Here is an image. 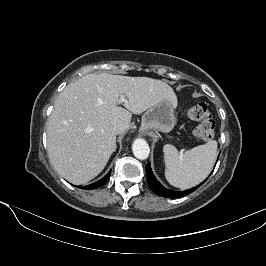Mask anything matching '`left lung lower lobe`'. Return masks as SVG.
<instances>
[{
	"label": "left lung lower lobe",
	"instance_id": "0a47b994",
	"mask_svg": "<svg viewBox=\"0 0 266 266\" xmlns=\"http://www.w3.org/2000/svg\"><path fill=\"white\" fill-rule=\"evenodd\" d=\"M146 174H147V181H148V186L149 188L156 193L159 196L166 197V198H179L182 196H185L187 194H190L194 192L199 186H201L204 182L199 184L198 186H195L191 189H188L186 191H173L170 189L165 188L163 185H161L157 179L155 178L151 167L150 163L146 165Z\"/></svg>",
	"mask_w": 266,
	"mask_h": 266
}]
</instances>
